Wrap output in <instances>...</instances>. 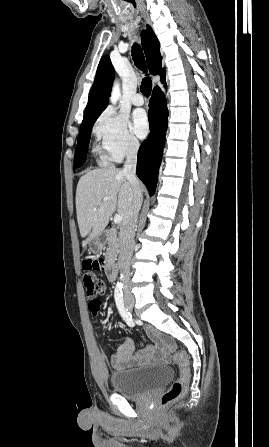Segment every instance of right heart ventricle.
<instances>
[{"label": "right heart ventricle", "instance_id": "right-heart-ventricle-1", "mask_svg": "<svg viewBox=\"0 0 269 447\" xmlns=\"http://www.w3.org/2000/svg\"><path fill=\"white\" fill-rule=\"evenodd\" d=\"M107 162V158L105 156H101V164H105Z\"/></svg>", "mask_w": 269, "mask_h": 447}]
</instances>
